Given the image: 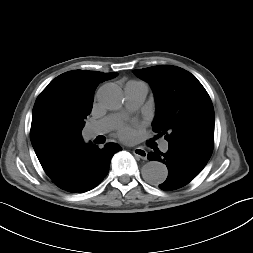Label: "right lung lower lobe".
I'll return each mask as SVG.
<instances>
[{
	"label": "right lung lower lobe",
	"mask_w": 253,
	"mask_h": 253,
	"mask_svg": "<svg viewBox=\"0 0 253 253\" xmlns=\"http://www.w3.org/2000/svg\"><path fill=\"white\" fill-rule=\"evenodd\" d=\"M120 150L115 143H107L103 149L84 143L69 154L60 177L53 181L68 192L89 191L106 177L112 156Z\"/></svg>",
	"instance_id": "right-lung-lower-lobe-1"
}]
</instances>
